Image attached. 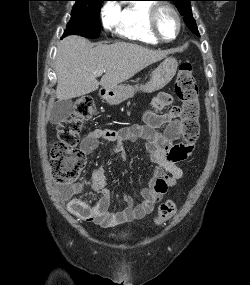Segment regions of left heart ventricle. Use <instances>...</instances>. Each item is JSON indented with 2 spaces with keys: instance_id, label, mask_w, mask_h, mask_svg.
I'll return each mask as SVG.
<instances>
[{
  "instance_id": "obj_1",
  "label": "left heart ventricle",
  "mask_w": 250,
  "mask_h": 285,
  "mask_svg": "<svg viewBox=\"0 0 250 285\" xmlns=\"http://www.w3.org/2000/svg\"><path fill=\"white\" fill-rule=\"evenodd\" d=\"M157 25L160 34L167 39L174 37L178 28L175 16L167 10L161 11Z\"/></svg>"
}]
</instances>
